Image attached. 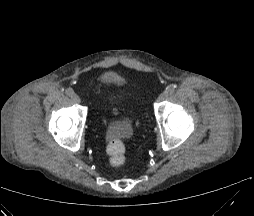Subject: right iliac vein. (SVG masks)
<instances>
[{
	"label": "right iliac vein",
	"mask_w": 254,
	"mask_h": 216,
	"mask_svg": "<svg viewBox=\"0 0 254 216\" xmlns=\"http://www.w3.org/2000/svg\"><path fill=\"white\" fill-rule=\"evenodd\" d=\"M72 99L75 103H80L81 102V99L77 94H73Z\"/></svg>",
	"instance_id": "obj_1"
}]
</instances>
